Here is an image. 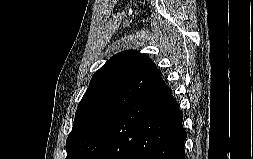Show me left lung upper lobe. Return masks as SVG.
<instances>
[{"label": "left lung upper lobe", "instance_id": "5c2ea615", "mask_svg": "<svg viewBox=\"0 0 253 159\" xmlns=\"http://www.w3.org/2000/svg\"><path fill=\"white\" fill-rule=\"evenodd\" d=\"M160 71L133 50L114 55L92 77L66 141V159H92L120 112L150 87Z\"/></svg>", "mask_w": 253, "mask_h": 159}]
</instances>
